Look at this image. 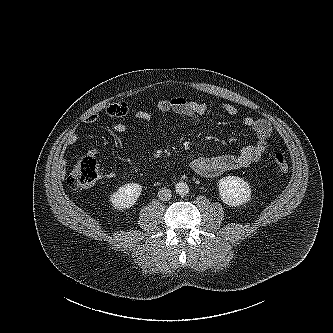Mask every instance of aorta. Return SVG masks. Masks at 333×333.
I'll return each instance as SVG.
<instances>
[{
	"mask_svg": "<svg viewBox=\"0 0 333 333\" xmlns=\"http://www.w3.org/2000/svg\"><path fill=\"white\" fill-rule=\"evenodd\" d=\"M175 191L180 196H185L189 192V186L185 182H178L175 185Z\"/></svg>",
	"mask_w": 333,
	"mask_h": 333,
	"instance_id": "aorta-1",
	"label": "aorta"
}]
</instances>
